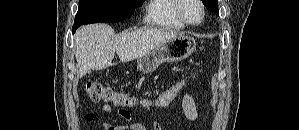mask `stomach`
Wrapping results in <instances>:
<instances>
[{
  "label": "stomach",
  "mask_w": 299,
  "mask_h": 130,
  "mask_svg": "<svg viewBox=\"0 0 299 130\" xmlns=\"http://www.w3.org/2000/svg\"><path fill=\"white\" fill-rule=\"evenodd\" d=\"M196 49L193 37L178 35L159 44L155 49L137 59V69L149 74L164 62H178L189 57Z\"/></svg>",
  "instance_id": "stomach-1"
}]
</instances>
